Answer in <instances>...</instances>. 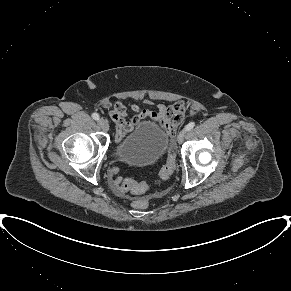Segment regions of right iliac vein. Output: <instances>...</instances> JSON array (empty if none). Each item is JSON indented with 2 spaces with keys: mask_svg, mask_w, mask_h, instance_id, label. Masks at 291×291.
I'll return each instance as SVG.
<instances>
[{
  "mask_svg": "<svg viewBox=\"0 0 291 291\" xmlns=\"http://www.w3.org/2000/svg\"><path fill=\"white\" fill-rule=\"evenodd\" d=\"M98 124L104 131H107L109 129L108 121L104 118H100L98 120Z\"/></svg>",
  "mask_w": 291,
  "mask_h": 291,
  "instance_id": "1",
  "label": "right iliac vein"
}]
</instances>
